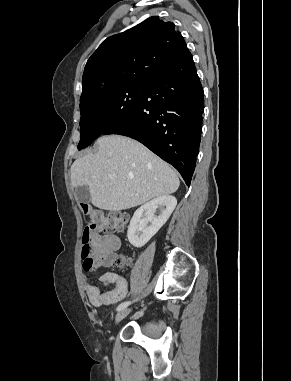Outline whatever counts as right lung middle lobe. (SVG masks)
I'll list each match as a JSON object with an SVG mask.
<instances>
[{"mask_svg":"<svg viewBox=\"0 0 291 381\" xmlns=\"http://www.w3.org/2000/svg\"><path fill=\"white\" fill-rule=\"evenodd\" d=\"M146 83L122 84L102 90L80 103V142L89 146L97 137L117 126L136 111Z\"/></svg>","mask_w":291,"mask_h":381,"instance_id":"dd1d6c3e","label":"right lung middle lobe"}]
</instances>
